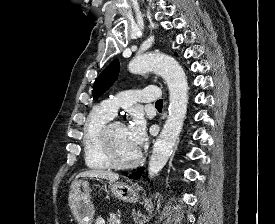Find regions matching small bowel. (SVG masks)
I'll use <instances>...</instances> for the list:
<instances>
[{
    "label": "small bowel",
    "mask_w": 275,
    "mask_h": 224,
    "mask_svg": "<svg viewBox=\"0 0 275 224\" xmlns=\"http://www.w3.org/2000/svg\"><path fill=\"white\" fill-rule=\"evenodd\" d=\"M95 224H104L103 218H102V217H98V218L96 219V223H95Z\"/></svg>",
    "instance_id": "obj_1"
}]
</instances>
